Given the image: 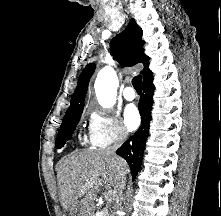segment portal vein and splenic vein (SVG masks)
Listing matches in <instances>:
<instances>
[{
  "mask_svg": "<svg viewBox=\"0 0 221 216\" xmlns=\"http://www.w3.org/2000/svg\"><path fill=\"white\" fill-rule=\"evenodd\" d=\"M115 196V192L112 191V190H108L106 193H105V199L108 200V201H111Z\"/></svg>",
  "mask_w": 221,
  "mask_h": 216,
  "instance_id": "1",
  "label": "portal vein and splenic vein"
}]
</instances>
